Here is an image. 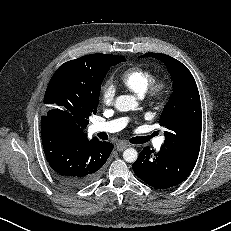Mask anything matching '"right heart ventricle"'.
<instances>
[{
  "mask_svg": "<svg viewBox=\"0 0 231 231\" xmlns=\"http://www.w3.org/2000/svg\"><path fill=\"white\" fill-rule=\"evenodd\" d=\"M152 79V71L142 66L128 67L119 76L120 84L139 97L145 95Z\"/></svg>",
  "mask_w": 231,
  "mask_h": 231,
  "instance_id": "right-heart-ventricle-1",
  "label": "right heart ventricle"
}]
</instances>
